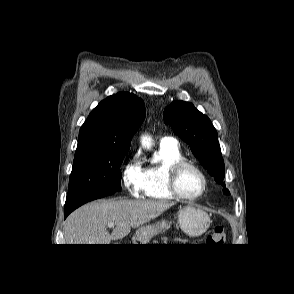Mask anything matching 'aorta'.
I'll return each instance as SVG.
<instances>
[{
	"mask_svg": "<svg viewBox=\"0 0 294 294\" xmlns=\"http://www.w3.org/2000/svg\"><path fill=\"white\" fill-rule=\"evenodd\" d=\"M141 144L145 148H151L153 145V140L150 137L142 136L141 137Z\"/></svg>",
	"mask_w": 294,
	"mask_h": 294,
	"instance_id": "aorta-1",
	"label": "aorta"
}]
</instances>
